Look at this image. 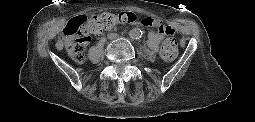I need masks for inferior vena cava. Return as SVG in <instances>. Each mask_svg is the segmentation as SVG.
Here are the masks:
<instances>
[{
	"instance_id": "obj_1",
	"label": "inferior vena cava",
	"mask_w": 255,
	"mask_h": 122,
	"mask_svg": "<svg viewBox=\"0 0 255 122\" xmlns=\"http://www.w3.org/2000/svg\"><path fill=\"white\" fill-rule=\"evenodd\" d=\"M107 36H108V39L114 40L118 37V34L117 33H110Z\"/></svg>"
}]
</instances>
